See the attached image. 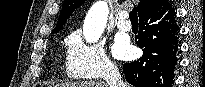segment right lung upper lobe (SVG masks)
<instances>
[{"mask_svg":"<svg viewBox=\"0 0 205 87\" xmlns=\"http://www.w3.org/2000/svg\"><path fill=\"white\" fill-rule=\"evenodd\" d=\"M160 0H140V3L137 6L139 15L143 12L154 6ZM85 0H64L60 16L58 18L57 25L52 33H57L62 29L63 24L71 15V13L83 4Z\"/></svg>","mask_w":205,"mask_h":87,"instance_id":"1","label":"right lung upper lobe"}]
</instances>
